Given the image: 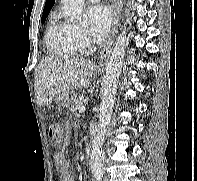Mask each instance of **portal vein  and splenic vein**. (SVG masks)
Segmentation results:
<instances>
[{"label":"portal vein and splenic vein","mask_w":197,"mask_h":181,"mask_svg":"<svg viewBox=\"0 0 197 181\" xmlns=\"http://www.w3.org/2000/svg\"><path fill=\"white\" fill-rule=\"evenodd\" d=\"M83 112H85V107H84V106H81V107L79 108V113H83Z\"/></svg>","instance_id":"18ae733b"}]
</instances>
